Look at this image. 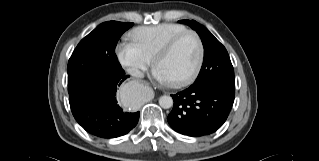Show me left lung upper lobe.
Listing matches in <instances>:
<instances>
[{
    "instance_id": "obj_1",
    "label": "left lung upper lobe",
    "mask_w": 319,
    "mask_h": 161,
    "mask_svg": "<svg viewBox=\"0 0 319 161\" xmlns=\"http://www.w3.org/2000/svg\"><path fill=\"white\" fill-rule=\"evenodd\" d=\"M200 36L204 47V62L194 84H214L235 90L234 69L225 47L211 32L194 20H180Z\"/></svg>"
}]
</instances>
